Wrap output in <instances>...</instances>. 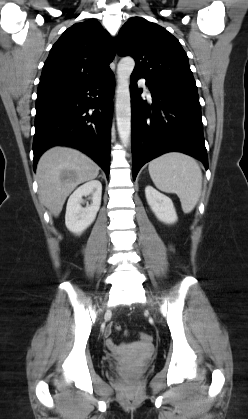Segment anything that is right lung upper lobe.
Instances as JSON below:
<instances>
[{
	"instance_id": "cb5924a9",
	"label": "right lung upper lobe",
	"mask_w": 248,
	"mask_h": 419,
	"mask_svg": "<svg viewBox=\"0 0 248 419\" xmlns=\"http://www.w3.org/2000/svg\"><path fill=\"white\" fill-rule=\"evenodd\" d=\"M115 41L96 20L76 23L51 48L38 91L64 88L105 74L115 56Z\"/></svg>"
}]
</instances>
